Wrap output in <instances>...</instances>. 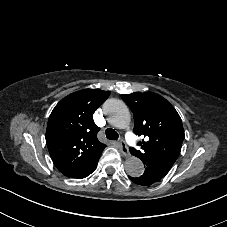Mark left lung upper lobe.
I'll use <instances>...</instances> for the list:
<instances>
[{
    "label": "left lung upper lobe",
    "instance_id": "left-lung-upper-lobe-1",
    "mask_svg": "<svg viewBox=\"0 0 227 227\" xmlns=\"http://www.w3.org/2000/svg\"><path fill=\"white\" fill-rule=\"evenodd\" d=\"M134 116V133L146 139L138 143L140 149L130 153L141 159L145 170L165 176L180 154L184 140L181 118L175 108L162 96L153 92L121 95Z\"/></svg>",
    "mask_w": 227,
    "mask_h": 227
}]
</instances>
